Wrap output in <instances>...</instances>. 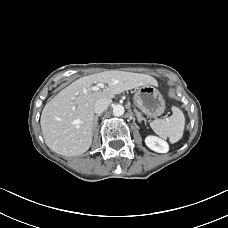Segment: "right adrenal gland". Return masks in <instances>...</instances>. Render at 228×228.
Listing matches in <instances>:
<instances>
[{"instance_id":"2a0ac1e0","label":"right adrenal gland","mask_w":228,"mask_h":228,"mask_svg":"<svg viewBox=\"0 0 228 228\" xmlns=\"http://www.w3.org/2000/svg\"><path fill=\"white\" fill-rule=\"evenodd\" d=\"M101 116V114H97L94 118V128L97 126L98 124V118Z\"/></svg>"}]
</instances>
